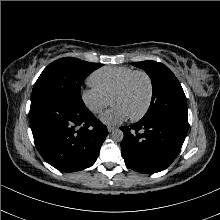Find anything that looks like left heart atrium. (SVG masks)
Masks as SVG:
<instances>
[{
  "instance_id": "1",
  "label": "left heart atrium",
  "mask_w": 220,
  "mask_h": 220,
  "mask_svg": "<svg viewBox=\"0 0 220 220\" xmlns=\"http://www.w3.org/2000/svg\"><path fill=\"white\" fill-rule=\"evenodd\" d=\"M127 111L121 106L114 105L101 115V120L107 124H118L129 118Z\"/></svg>"
}]
</instances>
